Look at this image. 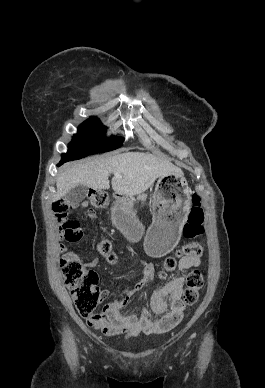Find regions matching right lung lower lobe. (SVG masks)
<instances>
[{
    "mask_svg": "<svg viewBox=\"0 0 265 388\" xmlns=\"http://www.w3.org/2000/svg\"><path fill=\"white\" fill-rule=\"evenodd\" d=\"M62 163H64V162L61 161L58 165L60 166Z\"/></svg>",
    "mask_w": 265,
    "mask_h": 388,
    "instance_id": "1",
    "label": "right lung lower lobe"
}]
</instances>
